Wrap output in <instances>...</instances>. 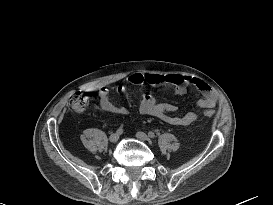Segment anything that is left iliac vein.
Here are the masks:
<instances>
[{
  "label": "left iliac vein",
  "instance_id": "left-iliac-vein-1",
  "mask_svg": "<svg viewBox=\"0 0 273 205\" xmlns=\"http://www.w3.org/2000/svg\"><path fill=\"white\" fill-rule=\"evenodd\" d=\"M136 137L141 141H148L149 138L144 132H137Z\"/></svg>",
  "mask_w": 273,
  "mask_h": 205
}]
</instances>
